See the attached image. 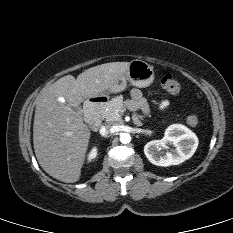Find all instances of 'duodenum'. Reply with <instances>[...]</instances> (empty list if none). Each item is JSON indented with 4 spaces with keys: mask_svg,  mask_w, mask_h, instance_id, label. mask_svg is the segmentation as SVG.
I'll list each match as a JSON object with an SVG mask.
<instances>
[{
    "mask_svg": "<svg viewBox=\"0 0 233 233\" xmlns=\"http://www.w3.org/2000/svg\"><path fill=\"white\" fill-rule=\"evenodd\" d=\"M105 100L96 98L89 102L85 107V120L91 128L99 127L101 123V111L104 107Z\"/></svg>",
    "mask_w": 233,
    "mask_h": 233,
    "instance_id": "duodenum-1",
    "label": "duodenum"
}]
</instances>
